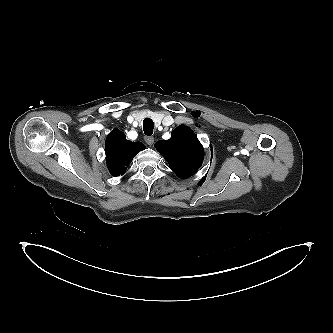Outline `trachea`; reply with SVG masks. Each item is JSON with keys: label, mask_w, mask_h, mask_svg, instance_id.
Returning a JSON list of instances; mask_svg holds the SVG:
<instances>
[{"label": "trachea", "mask_w": 333, "mask_h": 333, "mask_svg": "<svg viewBox=\"0 0 333 333\" xmlns=\"http://www.w3.org/2000/svg\"><path fill=\"white\" fill-rule=\"evenodd\" d=\"M153 128H154V123L152 119L150 118H145L143 120V131L145 135L151 136L153 134Z\"/></svg>", "instance_id": "trachea-1"}]
</instances>
